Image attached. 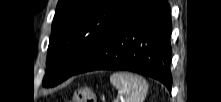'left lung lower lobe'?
I'll use <instances>...</instances> for the list:
<instances>
[{
    "label": "left lung lower lobe",
    "instance_id": "left-lung-lower-lobe-1",
    "mask_svg": "<svg viewBox=\"0 0 221 102\" xmlns=\"http://www.w3.org/2000/svg\"><path fill=\"white\" fill-rule=\"evenodd\" d=\"M171 32L167 0H132L73 75L104 69L129 70L159 80L171 92Z\"/></svg>",
    "mask_w": 221,
    "mask_h": 102
}]
</instances>
